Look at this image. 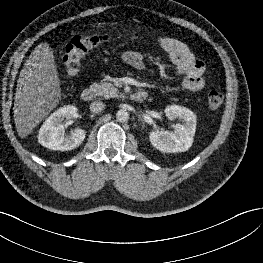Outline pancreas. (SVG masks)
<instances>
[{
    "instance_id": "1",
    "label": "pancreas",
    "mask_w": 263,
    "mask_h": 263,
    "mask_svg": "<svg viewBox=\"0 0 263 263\" xmlns=\"http://www.w3.org/2000/svg\"><path fill=\"white\" fill-rule=\"evenodd\" d=\"M91 89L95 91L96 95L104 98L118 97L120 95L118 89L108 82L94 83L91 85Z\"/></svg>"
}]
</instances>
